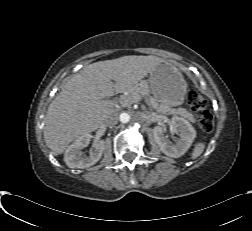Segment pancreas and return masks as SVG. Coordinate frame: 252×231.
I'll list each match as a JSON object with an SVG mask.
<instances>
[{"label":"pancreas","mask_w":252,"mask_h":231,"mask_svg":"<svg viewBox=\"0 0 252 231\" xmlns=\"http://www.w3.org/2000/svg\"><path fill=\"white\" fill-rule=\"evenodd\" d=\"M121 101H122V103H121L122 106H129V105H131V103L134 102V97H133V95L124 96ZM150 104L152 105L153 108H156L158 112H162L164 114H172L174 116L179 115L182 118H185L191 122L196 121L193 114L189 113L184 108L169 109V108L159 107L158 104L154 101V99H150Z\"/></svg>","instance_id":"pancreas-1"}]
</instances>
